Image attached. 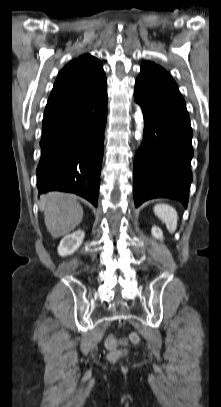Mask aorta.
<instances>
[{"mask_svg": "<svg viewBox=\"0 0 221 407\" xmlns=\"http://www.w3.org/2000/svg\"><path fill=\"white\" fill-rule=\"evenodd\" d=\"M135 123H136L135 139L140 140L143 134L144 120L142 110L139 106H136Z\"/></svg>", "mask_w": 221, "mask_h": 407, "instance_id": "aorta-1", "label": "aorta"}]
</instances>
